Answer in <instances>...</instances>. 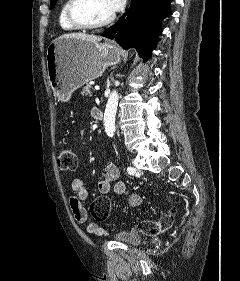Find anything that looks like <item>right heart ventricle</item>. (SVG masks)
<instances>
[{"mask_svg":"<svg viewBox=\"0 0 240 281\" xmlns=\"http://www.w3.org/2000/svg\"><path fill=\"white\" fill-rule=\"evenodd\" d=\"M68 4V0H65L60 8V12H59V24L61 26V28L65 31H74L77 30L79 28L75 27L74 25H72L66 16V7Z\"/></svg>","mask_w":240,"mask_h":281,"instance_id":"e07e8e85","label":"right heart ventricle"}]
</instances>
